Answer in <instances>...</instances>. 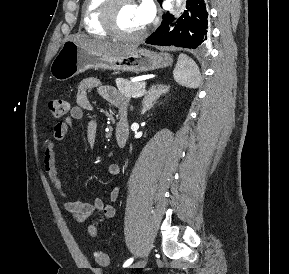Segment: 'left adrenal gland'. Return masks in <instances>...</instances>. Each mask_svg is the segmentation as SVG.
I'll use <instances>...</instances> for the list:
<instances>
[{
  "mask_svg": "<svg viewBox=\"0 0 289 274\" xmlns=\"http://www.w3.org/2000/svg\"><path fill=\"white\" fill-rule=\"evenodd\" d=\"M169 89L170 86L163 84L152 86L142 101L141 114L149 110L162 95L169 92Z\"/></svg>",
  "mask_w": 289,
  "mask_h": 274,
  "instance_id": "left-adrenal-gland-1",
  "label": "left adrenal gland"
}]
</instances>
